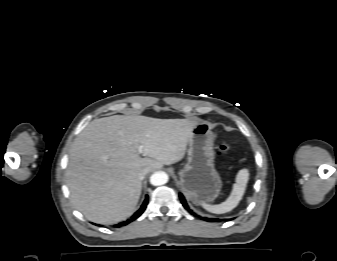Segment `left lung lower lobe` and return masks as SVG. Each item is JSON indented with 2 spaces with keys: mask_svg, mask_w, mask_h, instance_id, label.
I'll return each instance as SVG.
<instances>
[{
  "mask_svg": "<svg viewBox=\"0 0 337 261\" xmlns=\"http://www.w3.org/2000/svg\"><path fill=\"white\" fill-rule=\"evenodd\" d=\"M179 197H180L181 203H182V205L184 206V208H185L186 210H188V212H190L192 215L198 216L197 214H195V213L188 207V205H187V203H186V200H185L184 196H183L181 193L179 194ZM202 219H204V220H206V221H208V222H213V221H217V220H218V219L207 218V217H204V218H202Z\"/></svg>",
  "mask_w": 337,
  "mask_h": 261,
  "instance_id": "1",
  "label": "left lung lower lobe"
}]
</instances>
